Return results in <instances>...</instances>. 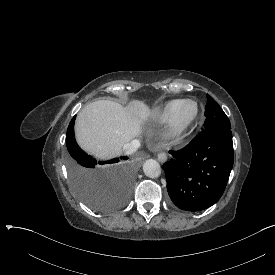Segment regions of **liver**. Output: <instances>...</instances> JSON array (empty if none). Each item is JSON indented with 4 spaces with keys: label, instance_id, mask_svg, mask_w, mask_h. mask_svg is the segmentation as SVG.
I'll return each mask as SVG.
<instances>
[{
    "label": "liver",
    "instance_id": "obj_1",
    "mask_svg": "<svg viewBox=\"0 0 275 275\" xmlns=\"http://www.w3.org/2000/svg\"><path fill=\"white\" fill-rule=\"evenodd\" d=\"M149 115V107L139 100L130 101L126 107L110 100L92 102L77 116L76 140L97 158L119 156L123 145L141 134Z\"/></svg>",
    "mask_w": 275,
    "mask_h": 275
}]
</instances>
